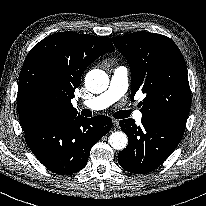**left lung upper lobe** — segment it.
<instances>
[{
	"label": "left lung upper lobe",
	"mask_w": 206,
	"mask_h": 206,
	"mask_svg": "<svg viewBox=\"0 0 206 206\" xmlns=\"http://www.w3.org/2000/svg\"><path fill=\"white\" fill-rule=\"evenodd\" d=\"M112 40L131 68V99L138 90L146 94L141 103L142 118L185 128L191 91L186 63L176 44L164 35L149 32Z\"/></svg>",
	"instance_id": "5c2ea615"
}]
</instances>
